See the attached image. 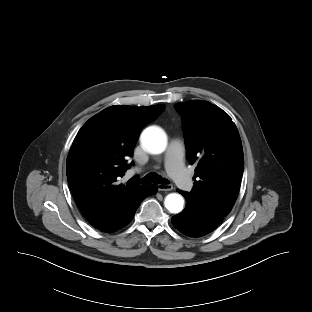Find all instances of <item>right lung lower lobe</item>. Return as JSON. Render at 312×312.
<instances>
[{"label":"right lung lower lobe","mask_w":312,"mask_h":312,"mask_svg":"<svg viewBox=\"0 0 312 312\" xmlns=\"http://www.w3.org/2000/svg\"><path fill=\"white\" fill-rule=\"evenodd\" d=\"M157 192V185H145L143 189L140 191L137 199L131 204L130 208L126 212V214L121 218L119 222H117L115 225L111 226L107 230H104L105 232L111 233L115 232L122 227L126 226L134 217V214L139 207L140 203L150 195H153Z\"/></svg>","instance_id":"98d812e1"}]
</instances>
